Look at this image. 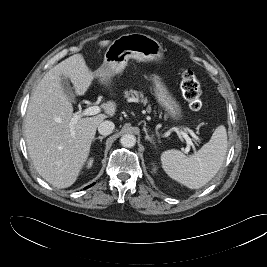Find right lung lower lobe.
<instances>
[{
  "instance_id": "1",
  "label": "right lung lower lobe",
  "mask_w": 267,
  "mask_h": 267,
  "mask_svg": "<svg viewBox=\"0 0 267 267\" xmlns=\"http://www.w3.org/2000/svg\"><path fill=\"white\" fill-rule=\"evenodd\" d=\"M92 185H93V184H92ZM92 185H90V186H87L86 188H89V187H91ZM86 188H85V189H86Z\"/></svg>"
}]
</instances>
